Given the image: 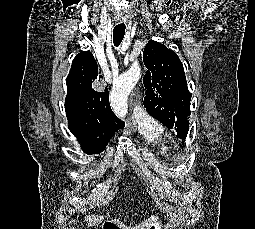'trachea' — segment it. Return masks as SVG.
I'll return each instance as SVG.
<instances>
[{"instance_id": "trachea-1", "label": "trachea", "mask_w": 255, "mask_h": 229, "mask_svg": "<svg viewBox=\"0 0 255 229\" xmlns=\"http://www.w3.org/2000/svg\"><path fill=\"white\" fill-rule=\"evenodd\" d=\"M126 26L124 23L118 24L114 27L113 42L116 47L120 45L124 38Z\"/></svg>"}]
</instances>
